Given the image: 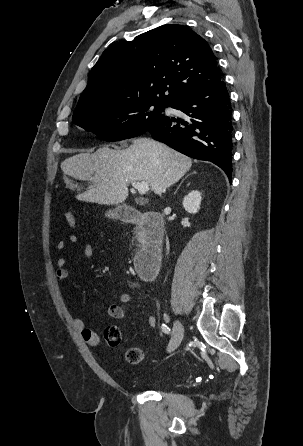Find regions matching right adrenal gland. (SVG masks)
<instances>
[{
  "mask_svg": "<svg viewBox=\"0 0 303 446\" xmlns=\"http://www.w3.org/2000/svg\"><path fill=\"white\" fill-rule=\"evenodd\" d=\"M193 173H195V172H193ZM193 173H192V174H193ZM190 175H191V174H190ZM188 176H189V175H188ZM188 176H186V177L181 181V183L179 184V186H178L176 192L178 191L179 187L181 186V184L183 183V181H184Z\"/></svg>",
  "mask_w": 303,
  "mask_h": 446,
  "instance_id": "obj_1",
  "label": "right adrenal gland"
}]
</instances>
